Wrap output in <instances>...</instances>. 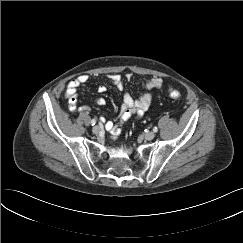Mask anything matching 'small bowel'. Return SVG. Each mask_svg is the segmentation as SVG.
<instances>
[{
	"label": "small bowel",
	"mask_w": 243,
	"mask_h": 243,
	"mask_svg": "<svg viewBox=\"0 0 243 243\" xmlns=\"http://www.w3.org/2000/svg\"><path fill=\"white\" fill-rule=\"evenodd\" d=\"M131 76L127 75L129 79ZM90 77L88 75H80L77 78L70 80L67 83L66 94L68 97L69 107L71 110H78L79 112L87 111L86 106H81L77 109V96L78 89L86 85ZM109 80L112 84L120 91L124 90V82L120 75L112 74L109 75ZM163 81L161 78L153 77L144 80L143 87L148 90V92H142L138 98H133L129 93H125L123 97V103L120 107L117 117L113 121H108L106 123V129L112 134L114 138L118 137L122 130L121 124L129 119L132 115H135V119H140L143 117L145 111L149 107L153 99V90H158L162 87ZM105 85H99L97 90L99 93H104L106 91ZM95 103L99 106L105 104V99L100 97L95 100Z\"/></svg>",
	"instance_id": "1"
}]
</instances>
